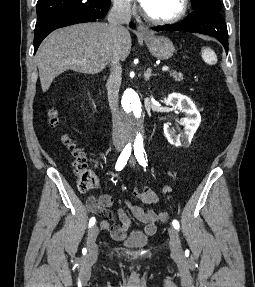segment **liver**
<instances>
[{
	"instance_id": "liver-1",
	"label": "liver",
	"mask_w": 255,
	"mask_h": 287,
	"mask_svg": "<svg viewBox=\"0 0 255 287\" xmlns=\"http://www.w3.org/2000/svg\"><path fill=\"white\" fill-rule=\"evenodd\" d=\"M111 32L108 24H77L52 32L37 52V66L43 92L49 90L54 78L66 70L81 74H98L111 60ZM120 60L124 62L131 50L128 30L119 40Z\"/></svg>"
}]
</instances>
